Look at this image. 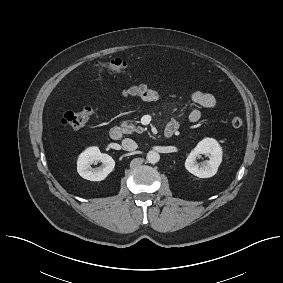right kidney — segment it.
I'll use <instances>...</instances> for the list:
<instances>
[{"instance_id": "1", "label": "right kidney", "mask_w": 283, "mask_h": 283, "mask_svg": "<svg viewBox=\"0 0 283 283\" xmlns=\"http://www.w3.org/2000/svg\"><path fill=\"white\" fill-rule=\"evenodd\" d=\"M100 161L102 166L93 169L91 165ZM115 161L108 154L101 153L97 147H89L82 152L77 161V171L79 175L90 181L104 180L114 169Z\"/></svg>"}]
</instances>
